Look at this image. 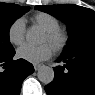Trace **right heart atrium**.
<instances>
[{
  "mask_svg": "<svg viewBox=\"0 0 95 95\" xmlns=\"http://www.w3.org/2000/svg\"><path fill=\"white\" fill-rule=\"evenodd\" d=\"M8 39L14 45H21L25 41V21L23 18L14 20L8 28Z\"/></svg>",
  "mask_w": 95,
  "mask_h": 95,
  "instance_id": "d8ad5b80",
  "label": "right heart atrium"
}]
</instances>
